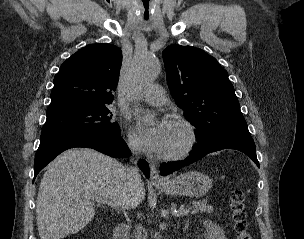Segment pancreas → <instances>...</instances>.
<instances>
[{"instance_id": "pancreas-1", "label": "pancreas", "mask_w": 304, "mask_h": 239, "mask_svg": "<svg viewBox=\"0 0 304 239\" xmlns=\"http://www.w3.org/2000/svg\"><path fill=\"white\" fill-rule=\"evenodd\" d=\"M189 209H191V212L193 214L211 212L213 210L212 207L209 206L206 201L196 202L191 207H189ZM139 229L142 230L143 228L141 226H139L137 228V232L135 233L136 239H141L142 237H144L143 239H145V235H142V233L139 231ZM143 231H144V229H143Z\"/></svg>"}]
</instances>
